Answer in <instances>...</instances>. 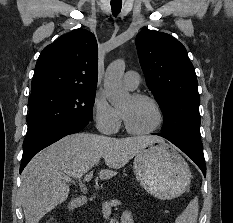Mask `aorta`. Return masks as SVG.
<instances>
[{"label":"aorta","instance_id":"762f6f07","mask_svg":"<svg viewBox=\"0 0 233 223\" xmlns=\"http://www.w3.org/2000/svg\"><path fill=\"white\" fill-rule=\"evenodd\" d=\"M125 72V62L123 60H116L109 64L104 80V90L106 98L111 106H120L125 104L126 100L130 98V94L126 88L122 86V78Z\"/></svg>","mask_w":233,"mask_h":223}]
</instances>
